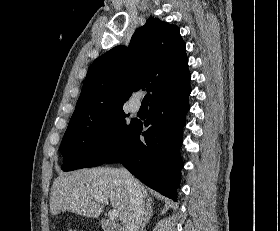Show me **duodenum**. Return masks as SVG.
Returning <instances> with one entry per match:
<instances>
[{"label": "duodenum", "instance_id": "1", "mask_svg": "<svg viewBox=\"0 0 280 231\" xmlns=\"http://www.w3.org/2000/svg\"><path fill=\"white\" fill-rule=\"evenodd\" d=\"M100 222L103 231H122V228H120L117 224L113 223L109 219L102 218Z\"/></svg>", "mask_w": 280, "mask_h": 231}]
</instances>
